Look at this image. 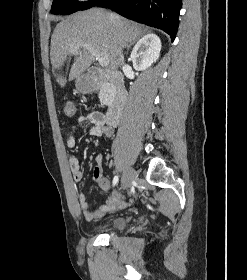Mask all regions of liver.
<instances>
[{
    "mask_svg": "<svg viewBox=\"0 0 247 280\" xmlns=\"http://www.w3.org/2000/svg\"><path fill=\"white\" fill-rule=\"evenodd\" d=\"M144 31L135 22L103 9L92 8L78 12L59 22L51 37L50 60L56 71V80L65 87L67 79L64 67L71 56L74 62L69 73V81L79 77L93 62L94 56L83 47L87 44L100 54L109 57V69L115 72L119 65L121 48L138 40ZM80 45L77 51L71 47Z\"/></svg>",
    "mask_w": 247,
    "mask_h": 280,
    "instance_id": "6515ba94",
    "label": "liver"
}]
</instances>
